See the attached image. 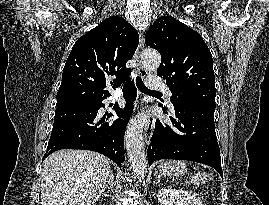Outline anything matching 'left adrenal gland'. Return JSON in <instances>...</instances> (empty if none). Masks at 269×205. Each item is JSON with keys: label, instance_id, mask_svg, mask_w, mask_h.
Instances as JSON below:
<instances>
[{"label": "left adrenal gland", "instance_id": "a2214340", "mask_svg": "<svg viewBox=\"0 0 269 205\" xmlns=\"http://www.w3.org/2000/svg\"><path fill=\"white\" fill-rule=\"evenodd\" d=\"M160 182V176H158V180H157V183H159Z\"/></svg>", "mask_w": 269, "mask_h": 205}]
</instances>
